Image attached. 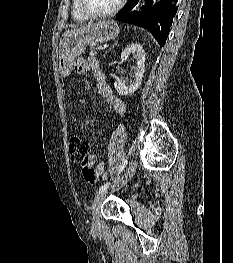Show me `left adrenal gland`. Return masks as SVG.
Returning a JSON list of instances; mask_svg holds the SVG:
<instances>
[{
  "instance_id": "left-adrenal-gland-1",
  "label": "left adrenal gland",
  "mask_w": 233,
  "mask_h": 263,
  "mask_svg": "<svg viewBox=\"0 0 233 263\" xmlns=\"http://www.w3.org/2000/svg\"><path fill=\"white\" fill-rule=\"evenodd\" d=\"M115 45H117V42L113 45V47L115 46ZM111 49V48H110ZM105 56V55H104Z\"/></svg>"
}]
</instances>
